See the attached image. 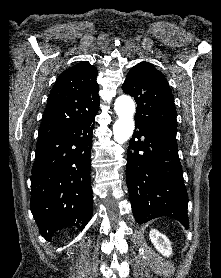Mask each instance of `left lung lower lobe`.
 <instances>
[{"label": "left lung lower lobe", "mask_w": 221, "mask_h": 278, "mask_svg": "<svg viewBox=\"0 0 221 278\" xmlns=\"http://www.w3.org/2000/svg\"><path fill=\"white\" fill-rule=\"evenodd\" d=\"M176 130L171 125L135 124L128 147L126 182L132 212L139 224L168 216L189 228Z\"/></svg>", "instance_id": "0a47b994"}]
</instances>
